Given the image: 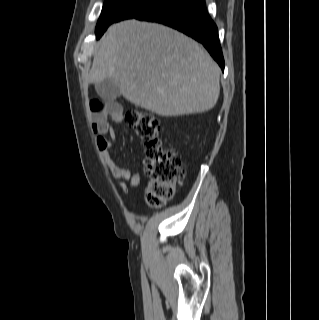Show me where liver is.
Segmentation results:
<instances>
[{
  "mask_svg": "<svg viewBox=\"0 0 319 320\" xmlns=\"http://www.w3.org/2000/svg\"><path fill=\"white\" fill-rule=\"evenodd\" d=\"M220 74L193 39L164 25L131 19L113 24L101 38L89 82L111 79L127 101L168 117L212 109Z\"/></svg>",
  "mask_w": 319,
  "mask_h": 320,
  "instance_id": "liver-1",
  "label": "liver"
}]
</instances>
